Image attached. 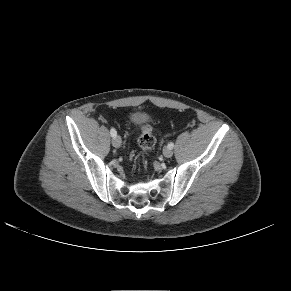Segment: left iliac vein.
I'll return each mask as SVG.
<instances>
[{"label":"left iliac vein","mask_w":291,"mask_h":291,"mask_svg":"<svg viewBox=\"0 0 291 291\" xmlns=\"http://www.w3.org/2000/svg\"><path fill=\"white\" fill-rule=\"evenodd\" d=\"M163 154L165 157L170 158L173 155V150L169 147L163 149Z\"/></svg>","instance_id":"left-iliac-vein-1"}]
</instances>
